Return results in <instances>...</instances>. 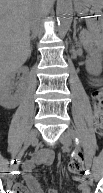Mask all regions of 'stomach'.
I'll return each mask as SVG.
<instances>
[{"instance_id":"1","label":"stomach","mask_w":103,"mask_h":193,"mask_svg":"<svg viewBox=\"0 0 103 193\" xmlns=\"http://www.w3.org/2000/svg\"><path fill=\"white\" fill-rule=\"evenodd\" d=\"M74 5L79 14H100L103 9V0H74Z\"/></svg>"}]
</instances>
